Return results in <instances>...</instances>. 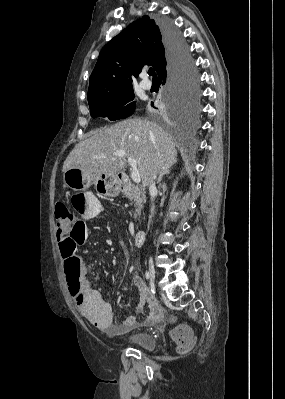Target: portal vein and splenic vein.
Listing matches in <instances>:
<instances>
[{
    "label": "portal vein and splenic vein",
    "mask_w": 285,
    "mask_h": 399,
    "mask_svg": "<svg viewBox=\"0 0 285 399\" xmlns=\"http://www.w3.org/2000/svg\"><path fill=\"white\" fill-rule=\"evenodd\" d=\"M114 155L117 157H123L125 155V152L122 150H119V151H116ZM127 160H128V164L131 166V170H132L131 178H132L133 182H135L137 184L140 183V181H141L140 173L138 171L137 163H136L135 159H132L129 157Z\"/></svg>",
    "instance_id": "portal-vein-and-splenic-vein-1"
}]
</instances>
